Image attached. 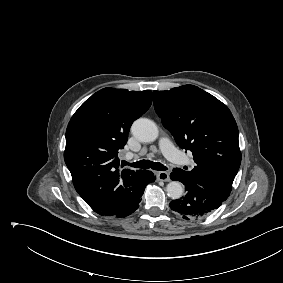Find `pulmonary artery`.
I'll return each instance as SVG.
<instances>
[{
    "label": "pulmonary artery",
    "instance_id": "pulmonary-artery-1",
    "mask_svg": "<svg viewBox=\"0 0 283 283\" xmlns=\"http://www.w3.org/2000/svg\"><path fill=\"white\" fill-rule=\"evenodd\" d=\"M159 148L163 155L170 161L177 164H191V161L181 154L171 143L167 137H161L159 140ZM127 158H132V154H127Z\"/></svg>",
    "mask_w": 283,
    "mask_h": 283
}]
</instances>
